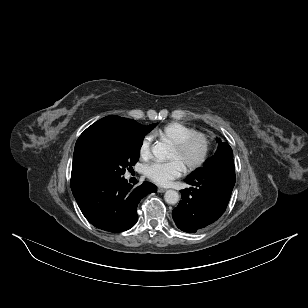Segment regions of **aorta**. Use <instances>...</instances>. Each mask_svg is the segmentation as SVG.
I'll list each match as a JSON object with an SVG mask.
<instances>
[{
    "label": "aorta",
    "mask_w": 308,
    "mask_h": 308,
    "mask_svg": "<svg viewBox=\"0 0 308 308\" xmlns=\"http://www.w3.org/2000/svg\"><path fill=\"white\" fill-rule=\"evenodd\" d=\"M153 155L160 159L166 160L171 157V149L166 143H158L152 149ZM165 202L171 205L179 201V194L175 190H167L164 195Z\"/></svg>",
    "instance_id": "aorta-1"
}]
</instances>
